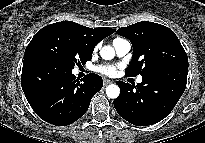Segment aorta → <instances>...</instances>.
<instances>
[{
  "label": "aorta",
  "mask_w": 205,
  "mask_h": 143,
  "mask_svg": "<svg viewBox=\"0 0 205 143\" xmlns=\"http://www.w3.org/2000/svg\"><path fill=\"white\" fill-rule=\"evenodd\" d=\"M100 55L105 60H111L115 56V50L111 46H104L100 50ZM106 94L111 99H116L120 94V89L116 84H111L106 87Z\"/></svg>",
  "instance_id": "1"
}]
</instances>
